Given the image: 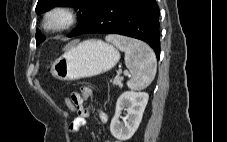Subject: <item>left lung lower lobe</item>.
I'll list each match as a JSON object with an SVG mask.
<instances>
[{
  "mask_svg": "<svg viewBox=\"0 0 227 142\" xmlns=\"http://www.w3.org/2000/svg\"><path fill=\"white\" fill-rule=\"evenodd\" d=\"M159 8L155 0H107L72 36L120 34L148 43L160 56Z\"/></svg>",
  "mask_w": 227,
  "mask_h": 142,
  "instance_id": "0a47b994",
  "label": "left lung lower lobe"
}]
</instances>
